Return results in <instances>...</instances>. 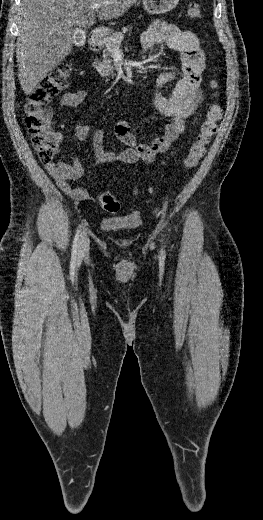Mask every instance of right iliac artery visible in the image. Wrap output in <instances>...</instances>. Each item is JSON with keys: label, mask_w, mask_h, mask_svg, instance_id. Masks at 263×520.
<instances>
[{"label": "right iliac artery", "mask_w": 263, "mask_h": 520, "mask_svg": "<svg viewBox=\"0 0 263 520\" xmlns=\"http://www.w3.org/2000/svg\"><path fill=\"white\" fill-rule=\"evenodd\" d=\"M79 234H80V227H78L77 232L74 237L73 248H72L73 255H76V253H77V249H78V245H79V236H80Z\"/></svg>", "instance_id": "82829eb1"}]
</instances>
